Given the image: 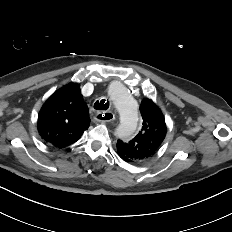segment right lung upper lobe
Returning <instances> with one entry per match:
<instances>
[{
    "instance_id": "1",
    "label": "right lung upper lobe",
    "mask_w": 232,
    "mask_h": 232,
    "mask_svg": "<svg viewBox=\"0 0 232 232\" xmlns=\"http://www.w3.org/2000/svg\"><path fill=\"white\" fill-rule=\"evenodd\" d=\"M89 110L80 87L69 83L52 94L38 114L37 129L41 138L59 149L80 139L90 125Z\"/></svg>"
}]
</instances>
